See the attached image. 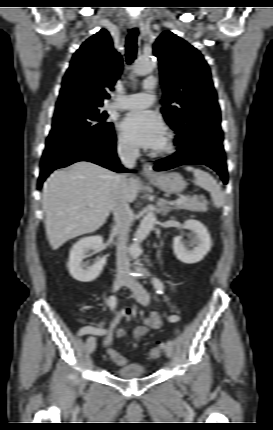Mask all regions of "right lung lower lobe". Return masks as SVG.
I'll return each instance as SVG.
<instances>
[{"instance_id":"1","label":"right lung lower lobe","mask_w":273,"mask_h":430,"mask_svg":"<svg viewBox=\"0 0 273 430\" xmlns=\"http://www.w3.org/2000/svg\"><path fill=\"white\" fill-rule=\"evenodd\" d=\"M115 142L116 138L113 136L106 142L91 141L43 154L38 188H41L43 181L53 170L77 161L93 162L116 172L127 171L117 157Z\"/></svg>"}]
</instances>
